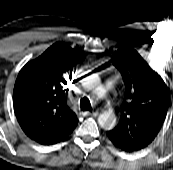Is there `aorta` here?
Returning a JSON list of instances; mask_svg holds the SVG:
<instances>
[{"label":"aorta","mask_w":173,"mask_h":170,"mask_svg":"<svg viewBox=\"0 0 173 170\" xmlns=\"http://www.w3.org/2000/svg\"><path fill=\"white\" fill-rule=\"evenodd\" d=\"M100 84V78L98 75L93 74L88 76L84 80L85 87L89 89H95ZM98 124L100 127L104 128L105 130H110L115 127L116 125V116L112 111H105L101 113L98 117Z\"/></svg>","instance_id":"obj_1"}]
</instances>
